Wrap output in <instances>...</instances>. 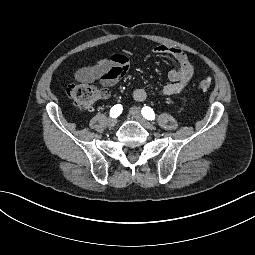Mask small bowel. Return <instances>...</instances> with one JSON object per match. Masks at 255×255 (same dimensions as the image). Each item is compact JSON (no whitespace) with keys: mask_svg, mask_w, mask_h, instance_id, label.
Wrapping results in <instances>:
<instances>
[{"mask_svg":"<svg viewBox=\"0 0 255 255\" xmlns=\"http://www.w3.org/2000/svg\"><path fill=\"white\" fill-rule=\"evenodd\" d=\"M157 55H168L173 57L178 67L172 69L168 73L169 83L159 90V95L166 97L182 93L188 86L194 68L187 57L186 53L181 49L168 46L157 45L152 49ZM129 60L124 54H114L109 58H104L90 66H84L78 69L74 78L80 83L98 82L103 87L101 90L102 97L109 96L108 88L116 84L127 72ZM133 98L138 102H144L148 99V93L143 88H137L133 91Z\"/></svg>","mask_w":255,"mask_h":255,"instance_id":"obj_1","label":"small bowel"}]
</instances>
